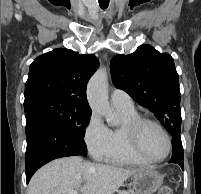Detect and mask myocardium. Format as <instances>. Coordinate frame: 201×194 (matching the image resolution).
<instances>
[{"mask_svg": "<svg viewBox=\"0 0 201 194\" xmlns=\"http://www.w3.org/2000/svg\"><path fill=\"white\" fill-rule=\"evenodd\" d=\"M146 124H151L155 126L156 128H158L164 134L167 140V143H168L167 152L164 156L160 158L149 157L147 154L144 153V151L141 148L140 135H141L142 128ZM127 130H128L129 140H130L132 149L138 156H140L145 161L149 163H159L166 160L171 154L173 149V141H172L171 135L165 129V127L162 124H160L158 121L151 118H147V117H138L128 124Z\"/></svg>", "mask_w": 201, "mask_h": 194, "instance_id": "1", "label": "myocardium"}]
</instances>
